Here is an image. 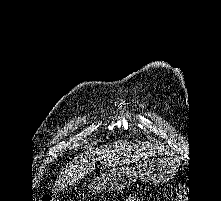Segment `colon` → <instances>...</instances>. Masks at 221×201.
<instances>
[{
  "instance_id": "obj_1",
  "label": "colon",
  "mask_w": 221,
  "mask_h": 201,
  "mask_svg": "<svg viewBox=\"0 0 221 201\" xmlns=\"http://www.w3.org/2000/svg\"><path fill=\"white\" fill-rule=\"evenodd\" d=\"M188 192L187 188L184 186L178 187L173 191L172 201H187ZM41 201H60L55 197H45Z\"/></svg>"
}]
</instances>
